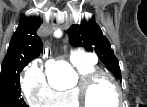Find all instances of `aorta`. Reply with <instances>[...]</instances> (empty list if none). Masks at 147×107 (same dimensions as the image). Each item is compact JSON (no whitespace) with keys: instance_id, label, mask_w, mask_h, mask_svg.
Wrapping results in <instances>:
<instances>
[{"instance_id":"762f6f07","label":"aorta","mask_w":147,"mask_h":107,"mask_svg":"<svg viewBox=\"0 0 147 107\" xmlns=\"http://www.w3.org/2000/svg\"><path fill=\"white\" fill-rule=\"evenodd\" d=\"M45 69L49 82L53 86L65 87L75 81L76 73L66 61L49 60L45 63Z\"/></svg>"}]
</instances>
